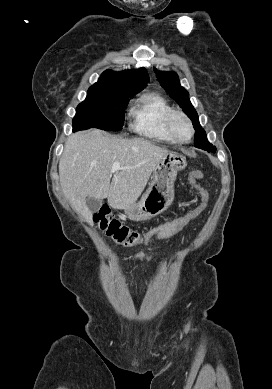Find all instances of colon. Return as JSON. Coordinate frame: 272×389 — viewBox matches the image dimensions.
<instances>
[{"mask_svg":"<svg viewBox=\"0 0 272 389\" xmlns=\"http://www.w3.org/2000/svg\"><path fill=\"white\" fill-rule=\"evenodd\" d=\"M202 178L203 173L199 170H194L189 175L190 184L197 190L202 200L199 207L147 231L139 232L124 226L111 213L108 207H102L98 212H96L94 214V221L102 230L106 232L108 236H111L117 243L126 247L149 244L158 239L168 238L186 228L205 209L208 200V194L198 185V182Z\"/></svg>","mask_w":272,"mask_h":389,"instance_id":"obj_1","label":"colon"}]
</instances>
